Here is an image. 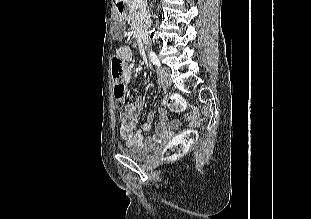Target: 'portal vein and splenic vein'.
I'll list each match as a JSON object with an SVG mask.
<instances>
[{
	"instance_id": "18ae733b",
	"label": "portal vein and splenic vein",
	"mask_w": 311,
	"mask_h": 219,
	"mask_svg": "<svg viewBox=\"0 0 311 219\" xmlns=\"http://www.w3.org/2000/svg\"><path fill=\"white\" fill-rule=\"evenodd\" d=\"M135 2L140 4L142 2V0H135Z\"/></svg>"
}]
</instances>
